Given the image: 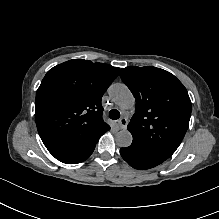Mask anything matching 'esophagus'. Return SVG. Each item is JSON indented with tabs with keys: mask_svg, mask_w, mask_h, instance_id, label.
<instances>
[{
	"mask_svg": "<svg viewBox=\"0 0 219 219\" xmlns=\"http://www.w3.org/2000/svg\"><path fill=\"white\" fill-rule=\"evenodd\" d=\"M127 119L126 118H121L119 121H118V125H119V128L120 129H126L127 127Z\"/></svg>",
	"mask_w": 219,
	"mask_h": 219,
	"instance_id": "obj_1",
	"label": "esophagus"
}]
</instances>
